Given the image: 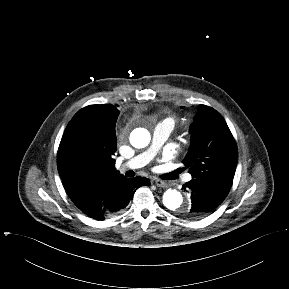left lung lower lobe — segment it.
Instances as JSON below:
<instances>
[{
    "label": "left lung lower lobe",
    "instance_id": "1",
    "mask_svg": "<svg viewBox=\"0 0 289 289\" xmlns=\"http://www.w3.org/2000/svg\"><path fill=\"white\" fill-rule=\"evenodd\" d=\"M185 191L191 194L192 206L185 216L201 218L218 207L227 196L230 187L215 181L192 179L183 185Z\"/></svg>",
    "mask_w": 289,
    "mask_h": 289
}]
</instances>
